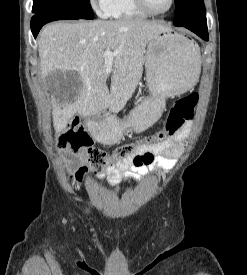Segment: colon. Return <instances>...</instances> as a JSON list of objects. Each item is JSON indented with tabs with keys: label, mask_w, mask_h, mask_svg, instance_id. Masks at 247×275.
I'll return each instance as SVG.
<instances>
[{
	"label": "colon",
	"mask_w": 247,
	"mask_h": 275,
	"mask_svg": "<svg viewBox=\"0 0 247 275\" xmlns=\"http://www.w3.org/2000/svg\"><path fill=\"white\" fill-rule=\"evenodd\" d=\"M198 100L196 93L177 99L170 108L161 130L138 143H127L119 146L115 149L112 160L122 161L134 158L135 161H140L141 157L137 154L138 150L143 146L160 143L166 138L175 135L186 122L193 118ZM57 145L63 150L72 152L83 151V160L88 165V168H86L95 173L101 171L109 162L106 152L93 146L91 136L78 120H74L59 135Z\"/></svg>",
	"instance_id": "obj_1"
}]
</instances>
